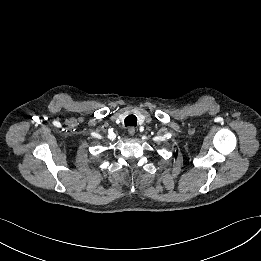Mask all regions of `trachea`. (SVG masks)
<instances>
[{
    "label": "trachea",
    "instance_id": "3493384b",
    "mask_svg": "<svg viewBox=\"0 0 261 261\" xmlns=\"http://www.w3.org/2000/svg\"><path fill=\"white\" fill-rule=\"evenodd\" d=\"M137 117L135 115H129L125 118V126H136Z\"/></svg>",
    "mask_w": 261,
    "mask_h": 261
}]
</instances>
